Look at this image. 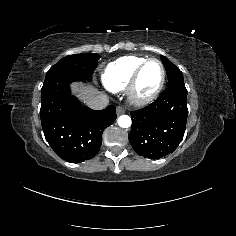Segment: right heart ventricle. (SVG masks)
<instances>
[{
    "label": "right heart ventricle",
    "instance_id": "e07e8e85",
    "mask_svg": "<svg viewBox=\"0 0 236 236\" xmlns=\"http://www.w3.org/2000/svg\"><path fill=\"white\" fill-rule=\"evenodd\" d=\"M146 59V57L130 55L108 63L101 74L103 85L113 93L125 91L136 69Z\"/></svg>",
    "mask_w": 236,
    "mask_h": 236
}]
</instances>
